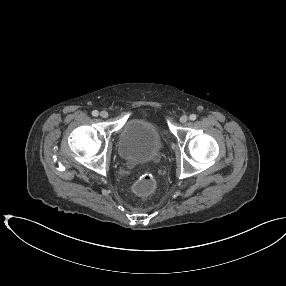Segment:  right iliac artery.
Returning a JSON list of instances; mask_svg holds the SVG:
<instances>
[{"instance_id":"right-iliac-artery-1","label":"right iliac artery","mask_w":286,"mask_h":286,"mask_svg":"<svg viewBox=\"0 0 286 286\" xmlns=\"http://www.w3.org/2000/svg\"><path fill=\"white\" fill-rule=\"evenodd\" d=\"M98 114H99V113H98V111H97V110L92 111V115H93V116L97 117V116H98Z\"/></svg>"}]
</instances>
